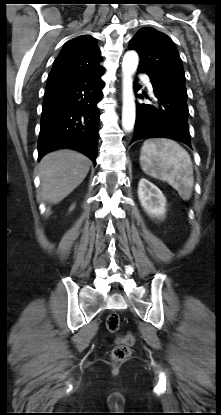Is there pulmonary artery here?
<instances>
[{
    "label": "pulmonary artery",
    "mask_w": 221,
    "mask_h": 415,
    "mask_svg": "<svg viewBox=\"0 0 221 415\" xmlns=\"http://www.w3.org/2000/svg\"><path fill=\"white\" fill-rule=\"evenodd\" d=\"M142 80L146 83L149 90H152V85L146 76H141Z\"/></svg>",
    "instance_id": "obj_1"
}]
</instances>
